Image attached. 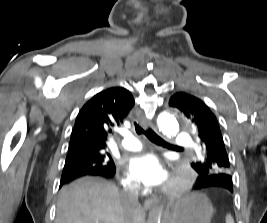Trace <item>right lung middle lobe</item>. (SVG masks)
Segmentation results:
<instances>
[{
    "instance_id": "1",
    "label": "right lung middle lobe",
    "mask_w": 267,
    "mask_h": 223,
    "mask_svg": "<svg viewBox=\"0 0 267 223\" xmlns=\"http://www.w3.org/2000/svg\"><path fill=\"white\" fill-rule=\"evenodd\" d=\"M115 172V164L106 151H98L94 147H86L81 152H70L67 155L63 172Z\"/></svg>"
}]
</instances>
